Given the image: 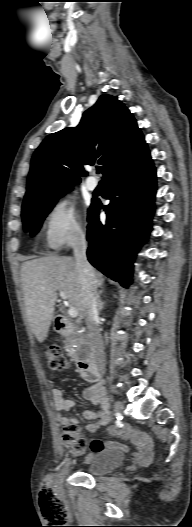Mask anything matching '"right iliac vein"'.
<instances>
[{
	"instance_id": "right-iliac-vein-1",
	"label": "right iliac vein",
	"mask_w": 192,
	"mask_h": 527,
	"mask_svg": "<svg viewBox=\"0 0 192 527\" xmlns=\"http://www.w3.org/2000/svg\"><path fill=\"white\" fill-rule=\"evenodd\" d=\"M113 407L116 412H121L123 410V404L119 401H116Z\"/></svg>"
}]
</instances>
